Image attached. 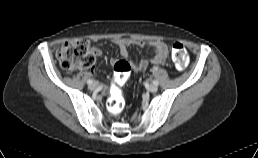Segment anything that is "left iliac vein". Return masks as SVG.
<instances>
[{
  "label": "left iliac vein",
  "mask_w": 258,
  "mask_h": 158,
  "mask_svg": "<svg viewBox=\"0 0 258 158\" xmlns=\"http://www.w3.org/2000/svg\"><path fill=\"white\" fill-rule=\"evenodd\" d=\"M148 89H149L150 92L154 93L158 90V85L151 84V85H149Z\"/></svg>",
  "instance_id": "4c4485c4"
}]
</instances>
